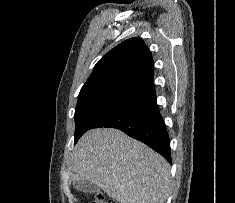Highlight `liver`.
<instances>
[{"mask_svg":"<svg viewBox=\"0 0 235 203\" xmlns=\"http://www.w3.org/2000/svg\"><path fill=\"white\" fill-rule=\"evenodd\" d=\"M73 181L88 182L120 203H164L170 166L151 148L120 130L92 129L78 141Z\"/></svg>","mask_w":235,"mask_h":203,"instance_id":"1","label":"liver"}]
</instances>
